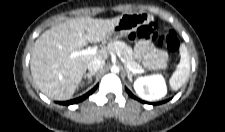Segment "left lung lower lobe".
Wrapping results in <instances>:
<instances>
[{"instance_id":"0a47b994","label":"left lung lower lobe","mask_w":225,"mask_h":132,"mask_svg":"<svg viewBox=\"0 0 225 132\" xmlns=\"http://www.w3.org/2000/svg\"><path fill=\"white\" fill-rule=\"evenodd\" d=\"M126 91L128 92V94H129L132 98H135V96H134L128 89H126Z\"/></svg>"}]
</instances>
